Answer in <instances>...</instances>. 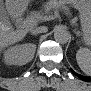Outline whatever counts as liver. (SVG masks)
<instances>
[{
  "mask_svg": "<svg viewBox=\"0 0 91 91\" xmlns=\"http://www.w3.org/2000/svg\"><path fill=\"white\" fill-rule=\"evenodd\" d=\"M36 24V20L30 19L29 23L24 21L23 24L20 26V29L14 31L10 28V25L8 23L4 28H2L0 34L1 47L21 41L26 36L28 31H30L32 27L36 26ZM33 55L34 54L30 55L28 62L32 60Z\"/></svg>",
  "mask_w": 91,
  "mask_h": 91,
  "instance_id": "liver-1",
  "label": "liver"
}]
</instances>
